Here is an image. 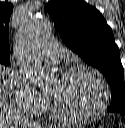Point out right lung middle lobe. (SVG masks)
Instances as JSON below:
<instances>
[{
  "label": "right lung middle lobe",
  "instance_id": "right-lung-middle-lobe-1",
  "mask_svg": "<svg viewBox=\"0 0 125 128\" xmlns=\"http://www.w3.org/2000/svg\"><path fill=\"white\" fill-rule=\"evenodd\" d=\"M0 65L9 66L10 65V59L9 58H0Z\"/></svg>",
  "mask_w": 125,
  "mask_h": 128
}]
</instances>
